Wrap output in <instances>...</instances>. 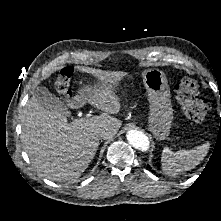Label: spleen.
<instances>
[{"label": "spleen", "mask_w": 221, "mask_h": 221, "mask_svg": "<svg viewBox=\"0 0 221 221\" xmlns=\"http://www.w3.org/2000/svg\"><path fill=\"white\" fill-rule=\"evenodd\" d=\"M209 148L210 144L208 142L190 150L176 152H172L169 148H164L161 156L162 170L170 176L191 170L204 159Z\"/></svg>", "instance_id": "obj_1"}]
</instances>
